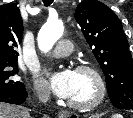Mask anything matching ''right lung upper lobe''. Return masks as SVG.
I'll list each match as a JSON object with an SVG mask.
<instances>
[{"instance_id":"cb5924a9","label":"right lung upper lobe","mask_w":133,"mask_h":118,"mask_svg":"<svg viewBox=\"0 0 133 118\" xmlns=\"http://www.w3.org/2000/svg\"><path fill=\"white\" fill-rule=\"evenodd\" d=\"M23 23L19 8L14 4L0 6V61L17 62L16 48L21 43Z\"/></svg>"}]
</instances>
